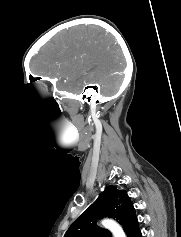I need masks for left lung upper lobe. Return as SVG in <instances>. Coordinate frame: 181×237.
<instances>
[{"label": "left lung upper lobe", "instance_id": "5c2ea615", "mask_svg": "<svg viewBox=\"0 0 181 237\" xmlns=\"http://www.w3.org/2000/svg\"><path fill=\"white\" fill-rule=\"evenodd\" d=\"M103 217L116 219L127 237H135L140 232L135 209L127 192L111 185L71 224L64 237H112L108 230L96 224V220Z\"/></svg>", "mask_w": 181, "mask_h": 237}]
</instances>
